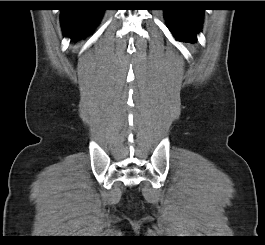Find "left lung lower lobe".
Instances as JSON below:
<instances>
[{
    "instance_id": "1",
    "label": "left lung lower lobe",
    "mask_w": 265,
    "mask_h": 245,
    "mask_svg": "<svg viewBox=\"0 0 265 245\" xmlns=\"http://www.w3.org/2000/svg\"><path fill=\"white\" fill-rule=\"evenodd\" d=\"M168 26L177 40L194 41L202 28L203 10L201 9H170L165 10Z\"/></svg>"
}]
</instances>
